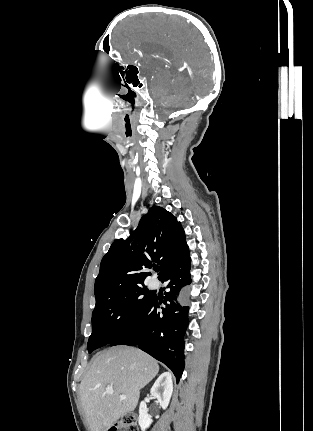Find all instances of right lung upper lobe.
Masks as SVG:
<instances>
[{"label":"right lung upper lobe","instance_id":"right-lung-upper-lobe-1","mask_svg":"<svg viewBox=\"0 0 313 431\" xmlns=\"http://www.w3.org/2000/svg\"><path fill=\"white\" fill-rule=\"evenodd\" d=\"M185 233L170 212L153 206L126 239L115 241L100 264L95 280L96 302L133 287L144 286L145 272L160 265L161 279L186 247Z\"/></svg>","mask_w":313,"mask_h":431}]
</instances>
